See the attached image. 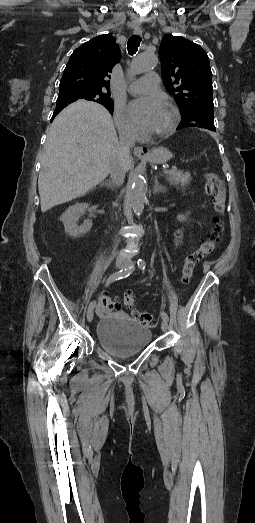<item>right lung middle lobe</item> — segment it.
Wrapping results in <instances>:
<instances>
[{
  "label": "right lung middle lobe",
  "instance_id": "right-lung-middle-lobe-1",
  "mask_svg": "<svg viewBox=\"0 0 255 523\" xmlns=\"http://www.w3.org/2000/svg\"><path fill=\"white\" fill-rule=\"evenodd\" d=\"M78 99H86L98 103L112 101L110 94L102 92H90L77 89L60 90L56 102L72 103Z\"/></svg>",
  "mask_w": 255,
  "mask_h": 523
}]
</instances>
